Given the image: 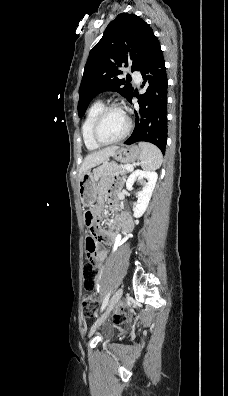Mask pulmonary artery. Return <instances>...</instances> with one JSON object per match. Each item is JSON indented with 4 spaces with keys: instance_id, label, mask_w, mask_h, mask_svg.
<instances>
[{
    "instance_id": "obj_1",
    "label": "pulmonary artery",
    "mask_w": 228,
    "mask_h": 396,
    "mask_svg": "<svg viewBox=\"0 0 228 396\" xmlns=\"http://www.w3.org/2000/svg\"><path fill=\"white\" fill-rule=\"evenodd\" d=\"M132 77L136 80L137 83H139L141 80V74L138 71H133Z\"/></svg>"
}]
</instances>
